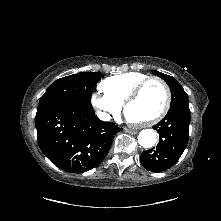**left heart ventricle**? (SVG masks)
I'll list each match as a JSON object with an SVG mask.
<instances>
[{"label":"left heart ventricle","mask_w":221,"mask_h":221,"mask_svg":"<svg viewBox=\"0 0 221 221\" xmlns=\"http://www.w3.org/2000/svg\"><path fill=\"white\" fill-rule=\"evenodd\" d=\"M165 93L157 82L148 83L139 97L128 107L127 115L133 121H145L154 117L162 109Z\"/></svg>","instance_id":"1"}]
</instances>
